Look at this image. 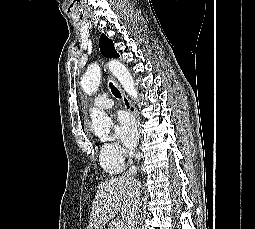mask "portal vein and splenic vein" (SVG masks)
Returning a JSON list of instances; mask_svg holds the SVG:
<instances>
[{
	"mask_svg": "<svg viewBox=\"0 0 255 229\" xmlns=\"http://www.w3.org/2000/svg\"><path fill=\"white\" fill-rule=\"evenodd\" d=\"M123 225H124L123 221L122 220H118L116 222V224H115V227H116V229H122Z\"/></svg>",
	"mask_w": 255,
	"mask_h": 229,
	"instance_id": "obj_1",
	"label": "portal vein and splenic vein"
}]
</instances>
